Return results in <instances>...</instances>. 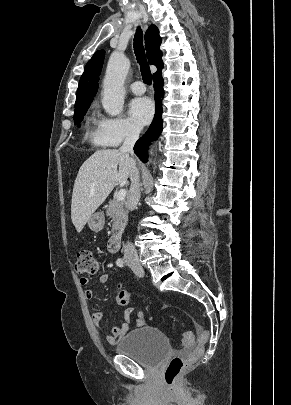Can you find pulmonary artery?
Instances as JSON below:
<instances>
[{
	"instance_id": "obj_1",
	"label": "pulmonary artery",
	"mask_w": 291,
	"mask_h": 405,
	"mask_svg": "<svg viewBox=\"0 0 291 405\" xmlns=\"http://www.w3.org/2000/svg\"><path fill=\"white\" fill-rule=\"evenodd\" d=\"M130 89L133 93L137 95L143 94L146 90L145 85L141 81H135L131 83Z\"/></svg>"
}]
</instances>
